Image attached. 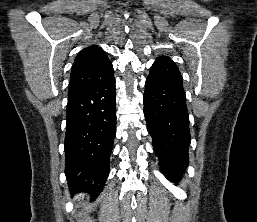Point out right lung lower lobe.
<instances>
[{
	"mask_svg": "<svg viewBox=\"0 0 257 222\" xmlns=\"http://www.w3.org/2000/svg\"><path fill=\"white\" fill-rule=\"evenodd\" d=\"M113 71L98 84L68 96L65 174L70 190L95 198L109 174L116 135Z\"/></svg>",
	"mask_w": 257,
	"mask_h": 222,
	"instance_id": "right-lung-lower-lobe-1",
	"label": "right lung lower lobe"
}]
</instances>
